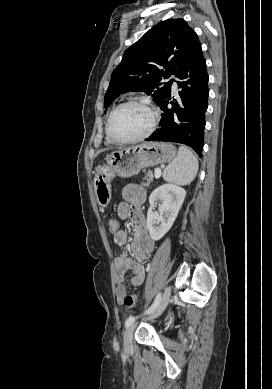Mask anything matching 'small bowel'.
<instances>
[{"mask_svg": "<svg viewBox=\"0 0 272 389\" xmlns=\"http://www.w3.org/2000/svg\"><path fill=\"white\" fill-rule=\"evenodd\" d=\"M124 201L117 207V215L120 219H129L134 228L133 239L130 244L133 259L126 254H122L115 259V295L119 304L127 295V288L124 283L125 276L131 273L130 282L133 286H140L145 279V268L141 263L148 259L154 249V241L148 233L145 217L141 211V206L146 199V191L138 185H128L123 189ZM114 241L119 246L128 243L126 231L119 230L114 234Z\"/></svg>", "mask_w": 272, "mask_h": 389, "instance_id": "1", "label": "small bowel"}]
</instances>
